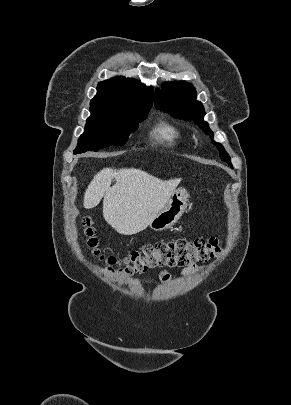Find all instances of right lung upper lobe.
<instances>
[{"mask_svg":"<svg viewBox=\"0 0 291 405\" xmlns=\"http://www.w3.org/2000/svg\"><path fill=\"white\" fill-rule=\"evenodd\" d=\"M97 91L90 103L93 110L134 111L151 108L153 102V88L131 78L115 77L100 82Z\"/></svg>","mask_w":291,"mask_h":405,"instance_id":"obj_1","label":"right lung upper lobe"}]
</instances>
